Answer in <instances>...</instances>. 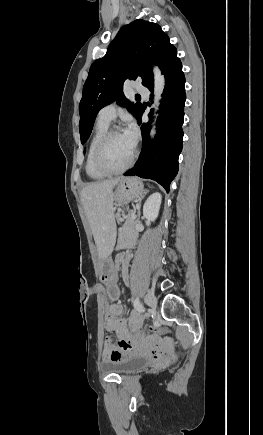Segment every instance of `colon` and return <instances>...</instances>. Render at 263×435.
Here are the masks:
<instances>
[{
	"label": "colon",
	"instance_id": "1",
	"mask_svg": "<svg viewBox=\"0 0 263 435\" xmlns=\"http://www.w3.org/2000/svg\"><path fill=\"white\" fill-rule=\"evenodd\" d=\"M146 327L150 330L151 333L161 332L163 335H167L169 333L167 330H164L158 324H148ZM116 341H119V339H117ZM161 341H165L164 338ZM102 348L103 350H112L113 339L108 337L103 338Z\"/></svg>",
	"mask_w": 263,
	"mask_h": 435
}]
</instances>
